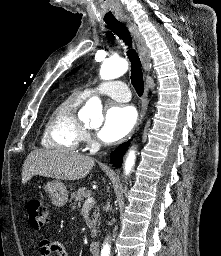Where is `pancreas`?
<instances>
[{
	"mask_svg": "<svg viewBox=\"0 0 221 256\" xmlns=\"http://www.w3.org/2000/svg\"><path fill=\"white\" fill-rule=\"evenodd\" d=\"M91 196V191L86 189L85 187L80 188L78 191L72 193L71 199L74 200L72 202V208L76 209V202H78L77 208L81 207V204L84 202V200ZM99 222V213L97 211L93 212V221H92V231L91 235L92 237L96 236L97 228L96 224Z\"/></svg>",
	"mask_w": 221,
	"mask_h": 256,
	"instance_id": "cf45deb5",
	"label": "pancreas"
}]
</instances>
